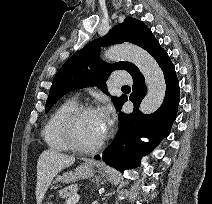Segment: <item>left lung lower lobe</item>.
Here are the masks:
<instances>
[{"instance_id":"0a47b994","label":"left lung lower lobe","mask_w":212,"mask_h":204,"mask_svg":"<svg viewBox=\"0 0 212 204\" xmlns=\"http://www.w3.org/2000/svg\"><path fill=\"white\" fill-rule=\"evenodd\" d=\"M153 57L163 70L166 81L163 104L153 114L145 115L139 111V105L146 95L147 88L140 71L134 74L132 76L133 92L129 97L134 104V110L131 114H120V128L116 138L101 157L95 156V159L100 160L101 158L108 165L121 172L138 166L141 157L148 154L164 137L169 135L177 114L180 91L174 65L163 49ZM126 101L127 97L122 100L117 109L121 110ZM141 137L148 138L150 142H142Z\"/></svg>"}]
</instances>
